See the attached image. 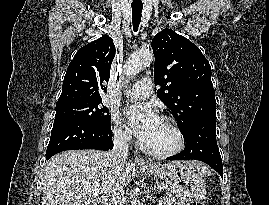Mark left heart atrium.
Masks as SVG:
<instances>
[{"mask_svg":"<svg viewBox=\"0 0 269 205\" xmlns=\"http://www.w3.org/2000/svg\"><path fill=\"white\" fill-rule=\"evenodd\" d=\"M129 131L142 143L146 144L156 132L160 117L155 107L151 104H138L126 110Z\"/></svg>","mask_w":269,"mask_h":205,"instance_id":"obj_1","label":"left heart atrium"}]
</instances>
